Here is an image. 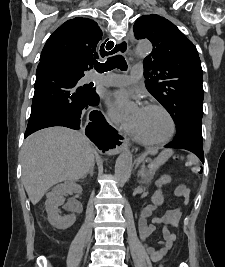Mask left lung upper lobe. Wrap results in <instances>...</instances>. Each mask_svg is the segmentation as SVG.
<instances>
[{
	"label": "left lung upper lobe",
	"instance_id": "1",
	"mask_svg": "<svg viewBox=\"0 0 225 267\" xmlns=\"http://www.w3.org/2000/svg\"><path fill=\"white\" fill-rule=\"evenodd\" d=\"M133 30L137 39H149L153 44L151 54L144 59L145 84L170 113L177 134L190 119L203 115L198 51L173 23L156 14L138 18Z\"/></svg>",
	"mask_w": 225,
	"mask_h": 267
}]
</instances>
